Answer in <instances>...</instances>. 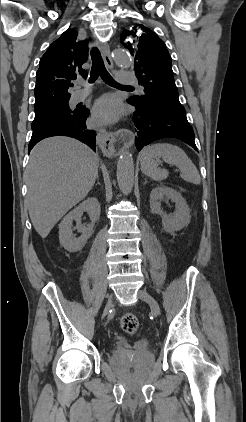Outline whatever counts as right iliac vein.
Segmentation results:
<instances>
[{
	"label": "right iliac vein",
	"mask_w": 246,
	"mask_h": 422,
	"mask_svg": "<svg viewBox=\"0 0 246 422\" xmlns=\"http://www.w3.org/2000/svg\"><path fill=\"white\" fill-rule=\"evenodd\" d=\"M112 305H113L112 296H109L108 301L106 303V306H105V308L103 310L102 317H105L108 314V312L111 309Z\"/></svg>",
	"instance_id": "right-iliac-vein-1"
}]
</instances>
